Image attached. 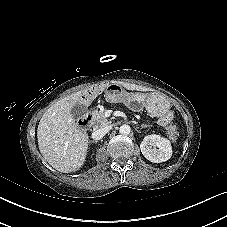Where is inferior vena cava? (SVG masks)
<instances>
[{
    "instance_id": "obj_1",
    "label": "inferior vena cava",
    "mask_w": 227,
    "mask_h": 227,
    "mask_svg": "<svg viewBox=\"0 0 227 227\" xmlns=\"http://www.w3.org/2000/svg\"><path fill=\"white\" fill-rule=\"evenodd\" d=\"M109 130H110L109 127H104V128L97 129V130H95L92 133V136L91 137L94 140H100V139H102L109 132Z\"/></svg>"
}]
</instances>
